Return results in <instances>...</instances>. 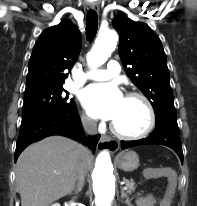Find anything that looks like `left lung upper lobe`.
Segmentation results:
<instances>
[{"mask_svg":"<svg viewBox=\"0 0 197 206\" xmlns=\"http://www.w3.org/2000/svg\"><path fill=\"white\" fill-rule=\"evenodd\" d=\"M113 27L120 35L118 51L125 71L152 104L156 127L164 123L177 125L166 55L159 37L148 25L122 14L113 19Z\"/></svg>","mask_w":197,"mask_h":206,"instance_id":"1","label":"left lung upper lobe"}]
</instances>
